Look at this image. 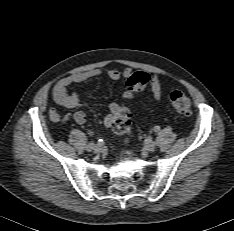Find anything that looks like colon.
Returning a JSON list of instances; mask_svg holds the SVG:
<instances>
[{
	"mask_svg": "<svg viewBox=\"0 0 234 231\" xmlns=\"http://www.w3.org/2000/svg\"><path fill=\"white\" fill-rule=\"evenodd\" d=\"M149 77L144 72H136L131 75L128 79V88L125 92L124 98L129 101L133 98L134 94L143 90L147 83ZM170 102L173 108L182 114H188L190 111V99L188 96L180 91L173 90L170 95ZM132 124V114L127 105H123L114 123V130L121 134H128Z\"/></svg>",
	"mask_w": 234,
	"mask_h": 231,
	"instance_id": "1",
	"label": "colon"
}]
</instances>
